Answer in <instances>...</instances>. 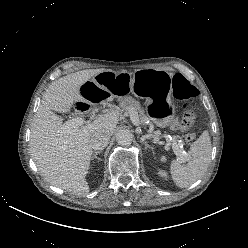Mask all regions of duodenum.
<instances>
[{"mask_svg": "<svg viewBox=\"0 0 248 248\" xmlns=\"http://www.w3.org/2000/svg\"><path fill=\"white\" fill-rule=\"evenodd\" d=\"M77 108H78V111L81 113H87L92 109L90 104L84 103V102L78 103Z\"/></svg>", "mask_w": 248, "mask_h": 248, "instance_id": "410a0bca", "label": "duodenum"}]
</instances>
